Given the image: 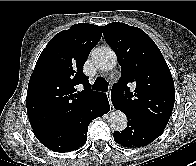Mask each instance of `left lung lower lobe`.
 I'll return each instance as SVG.
<instances>
[{
    "label": "left lung lower lobe",
    "instance_id": "obj_1",
    "mask_svg": "<svg viewBox=\"0 0 196 166\" xmlns=\"http://www.w3.org/2000/svg\"><path fill=\"white\" fill-rule=\"evenodd\" d=\"M127 127L123 131H115L113 136L116 143L123 147H141L148 145L159 137L164 129L143 123L133 116L126 115Z\"/></svg>",
    "mask_w": 196,
    "mask_h": 166
}]
</instances>
